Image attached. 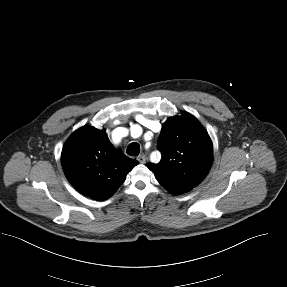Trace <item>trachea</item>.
I'll return each mask as SVG.
<instances>
[{"mask_svg":"<svg viewBox=\"0 0 287 287\" xmlns=\"http://www.w3.org/2000/svg\"><path fill=\"white\" fill-rule=\"evenodd\" d=\"M126 152L130 156H137L140 153V145L136 142L130 143Z\"/></svg>","mask_w":287,"mask_h":287,"instance_id":"trachea-1","label":"trachea"}]
</instances>
